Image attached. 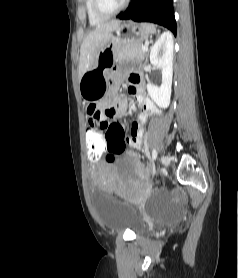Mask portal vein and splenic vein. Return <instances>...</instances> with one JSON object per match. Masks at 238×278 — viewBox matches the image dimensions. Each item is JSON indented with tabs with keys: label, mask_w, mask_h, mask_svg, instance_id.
Instances as JSON below:
<instances>
[{
	"label": "portal vein and splenic vein",
	"mask_w": 238,
	"mask_h": 278,
	"mask_svg": "<svg viewBox=\"0 0 238 278\" xmlns=\"http://www.w3.org/2000/svg\"><path fill=\"white\" fill-rule=\"evenodd\" d=\"M143 51H147L148 50V48L146 47V46H142V48H141Z\"/></svg>",
	"instance_id": "18ae733b"
}]
</instances>
